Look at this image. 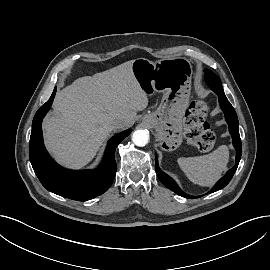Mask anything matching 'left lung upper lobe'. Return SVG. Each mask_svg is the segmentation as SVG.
Wrapping results in <instances>:
<instances>
[{
    "mask_svg": "<svg viewBox=\"0 0 270 270\" xmlns=\"http://www.w3.org/2000/svg\"><path fill=\"white\" fill-rule=\"evenodd\" d=\"M205 74H206V81L209 84V86L211 87V89L217 95H224L225 96L219 77L209 69L205 70Z\"/></svg>",
    "mask_w": 270,
    "mask_h": 270,
    "instance_id": "1",
    "label": "left lung upper lobe"
}]
</instances>
